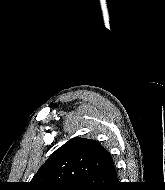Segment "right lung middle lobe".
<instances>
[{
  "label": "right lung middle lobe",
  "mask_w": 165,
  "mask_h": 190,
  "mask_svg": "<svg viewBox=\"0 0 165 190\" xmlns=\"http://www.w3.org/2000/svg\"><path fill=\"white\" fill-rule=\"evenodd\" d=\"M81 182L51 188V190H79Z\"/></svg>",
  "instance_id": "obj_1"
}]
</instances>
